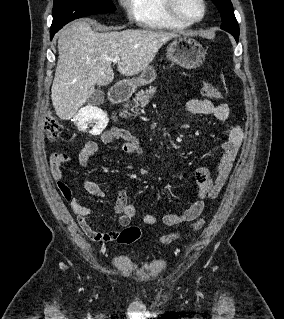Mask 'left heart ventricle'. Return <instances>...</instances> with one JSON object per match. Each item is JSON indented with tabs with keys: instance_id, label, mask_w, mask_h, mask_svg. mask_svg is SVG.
<instances>
[{
	"instance_id": "left-heart-ventricle-1",
	"label": "left heart ventricle",
	"mask_w": 284,
	"mask_h": 319,
	"mask_svg": "<svg viewBox=\"0 0 284 319\" xmlns=\"http://www.w3.org/2000/svg\"><path fill=\"white\" fill-rule=\"evenodd\" d=\"M179 13L188 20H196L201 17L203 6L201 0H177Z\"/></svg>"
}]
</instances>
